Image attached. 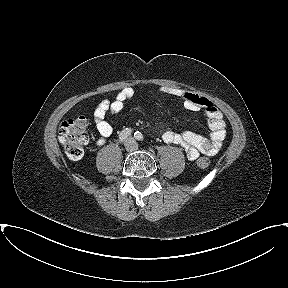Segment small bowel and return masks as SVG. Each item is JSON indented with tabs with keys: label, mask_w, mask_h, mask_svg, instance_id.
Returning a JSON list of instances; mask_svg holds the SVG:
<instances>
[{
	"label": "small bowel",
	"mask_w": 288,
	"mask_h": 288,
	"mask_svg": "<svg viewBox=\"0 0 288 288\" xmlns=\"http://www.w3.org/2000/svg\"><path fill=\"white\" fill-rule=\"evenodd\" d=\"M159 92L180 98L184 107L190 111H202L207 117L210 133L203 136L191 131H165L162 138L166 143L181 146L190 160L196 159L200 153L216 155L222 148L226 136L225 121L221 111L208 98L190 91L162 86ZM134 96V90L126 87L120 90L113 100L101 101L94 110L98 139L96 143L103 145L112 134V127L106 121L111 114L121 112L128 100Z\"/></svg>",
	"instance_id": "1"
}]
</instances>
